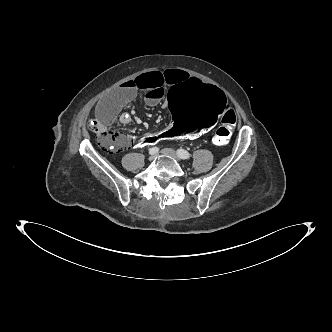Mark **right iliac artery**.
<instances>
[{"mask_svg":"<svg viewBox=\"0 0 332 332\" xmlns=\"http://www.w3.org/2000/svg\"><path fill=\"white\" fill-rule=\"evenodd\" d=\"M158 151H159V148L152 147V148L149 149V154L154 155V154H157Z\"/></svg>","mask_w":332,"mask_h":332,"instance_id":"1","label":"right iliac artery"}]
</instances>
